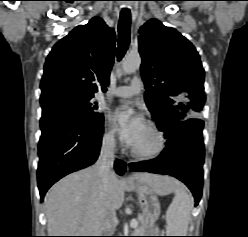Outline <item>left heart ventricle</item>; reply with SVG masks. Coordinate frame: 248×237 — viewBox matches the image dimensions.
<instances>
[{
  "label": "left heart ventricle",
  "instance_id": "left-heart-ventricle-1",
  "mask_svg": "<svg viewBox=\"0 0 248 237\" xmlns=\"http://www.w3.org/2000/svg\"><path fill=\"white\" fill-rule=\"evenodd\" d=\"M132 147L142 152L150 151L156 147V138L154 134L146 127Z\"/></svg>",
  "mask_w": 248,
  "mask_h": 237
}]
</instances>
